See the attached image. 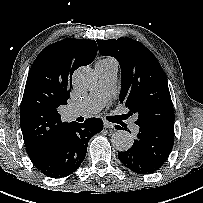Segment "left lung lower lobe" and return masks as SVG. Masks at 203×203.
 Listing matches in <instances>:
<instances>
[{"label": "left lung lower lobe", "instance_id": "1", "mask_svg": "<svg viewBox=\"0 0 203 203\" xmlns=\"http://www.w3.org/2000/svg\"><path fill=\"white\" fill-rule=\"evenodd\" d=\"M173 145L174 132L139 127L133 146L127 151L119 152L118 158L137 174H152L163 166Z\"/></svg>", "mask_w": 203, "mask_h": 203}]
</instances>
